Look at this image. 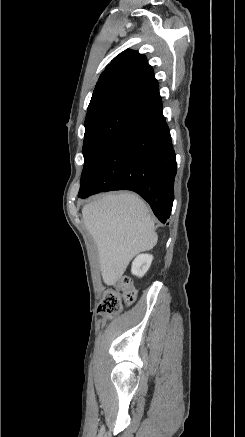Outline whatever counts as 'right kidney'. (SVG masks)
<instances>
[{
  "label": "right kidney",
  "mask_w": 245,
  "mask_h": 437,
  "mask_svg": "<svg viewBox=\"0 0 245 437\" xmlns=\"http://www.w3.org/2000/svg\"><path fill=\"white\" fill-rule=\"evenodd\" d=\"M153 256L142 254L135 258L132 263V273L138 277H142L149 270Z\"/></svg>",
  "instance_id": "obj_1"
}]
</instances>
